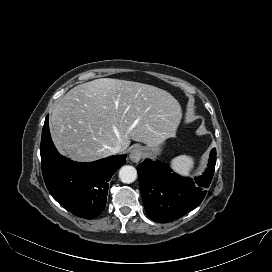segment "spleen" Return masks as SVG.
<instances>
[{"label": "spleen", "instance_id": "3e777b00", "mask_svg": "<svg viewBox=\"0 0 272 272\" xmlns=\"http://www.w3.org/2000/svg\"><path fill=\"white\" fill-rule=\"evenodd\" d=\"M170 166L178 174L188 176L193 169L194 159L188 155H180L171 160Z\"/></svg>", "mask_w": 272, "mask_h": 272}]
</instances>
